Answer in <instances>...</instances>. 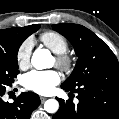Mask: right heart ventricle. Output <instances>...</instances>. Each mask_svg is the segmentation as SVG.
Returning a JSON list of instances; mask_svg holds the SVG:
<instances>
[{"mask_svg": "<svg viewBox=\"0 0 119 119\" xmlns=\"http://www.w3.org/2000/svg\"><path fill=\"white\" fill-rule=\"evenodd\" d=\"M40 41L55 54L65 53L68 50V41L60 33L55 31H45L40 37Z\"/></svg>", "mask_w": 119, "mask_h": 119, "instance_id": "obj_1", "label": "right heart ventricle"}]
</instances>
